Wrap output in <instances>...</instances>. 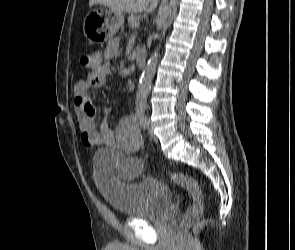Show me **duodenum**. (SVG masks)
Here are the masks:
<instances>
[{"label":"duodenum","mask_w":295,"mask_h":250,"mask_svg":"<svg viewBox=\"0 0 295 250\" xmlns=\"http://www.w3.org/2000/svg\"><path fill=\"white\" fill-rule=\"evenodd\" d=\"M146 53L143 50H138L135 54V62L139 68L146 66Z\"/></svg>","instance_id":"obj_1"}]
</instances>
